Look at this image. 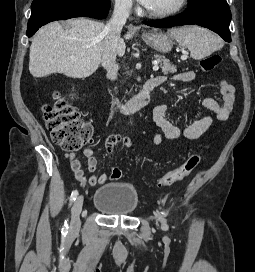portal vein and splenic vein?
Listing matches in <instances>:
<instances>
[{"label":"portal vein and splenic vein","instance_id":"obj_1","mask_svg":"<svg viewBox=\"0 0 255 272\" xmlns=\"http://www.w3.org/2000/svg\"><path fill=\"white\" fill-rule=\"evenodd\" d=\"M153 70L154 71H158V69H159V66H158V63L157 62H155V63H153Z\"/></svg>","mask_w":255,"mask_h":272}]
</instances>
